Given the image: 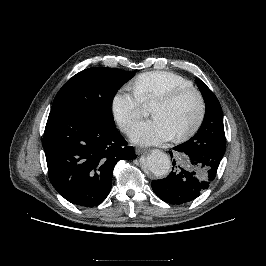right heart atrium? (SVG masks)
<instances>
[{
	"instance_id": "obj_1",
	"label": "right heart atrium",
	"mask_w": 266,
	"mask_h": 266,
	"mask_svg": "<svg viewBox=\"0 0 266 266\" xmlns=\"http://www.w3.org/2000/svg\"><path fill=\"white\" fill-rule=\"evenodd\" d=\"M144 103L134 90L121 88L117 90L111 100L112 115L125 133L141 118Z\"/></svg>"
}]
</instances>
